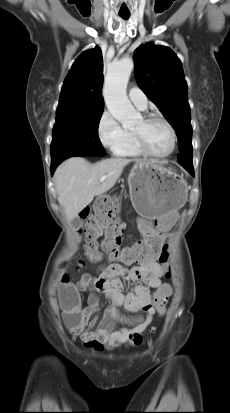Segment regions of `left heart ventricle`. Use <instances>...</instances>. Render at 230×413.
Wrapping results in <instances>:
<instances>
[{
	"label": "left heart ventricle",
	"instance_id": "obj_1",
	"mask_svg": "<svg viewBox=\"0 0 230 413\" xmlns=\"http://www.w3.org/2000/svg\"><path fill=\"white\" fill-rule=\"evenodd\" d=\"M133 131L142 135L149 148L157 153H165L171 146V134L168 127L161 121L145 122L143 119Z\"/></svg>",
	"mask_w": 230,
	"mask_h": 413
}]
</instances>
